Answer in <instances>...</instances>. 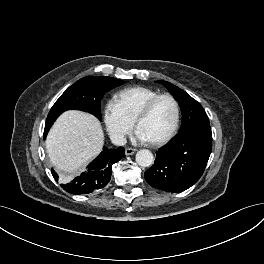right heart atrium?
I'll use <instances>...</instances> for the list:
<instances>
[{"mask_svg": "<svg viewBox=\"0 0 264 264\" xmlns=\"http://www.w3.org/2000/svg\"><path fill=\"white\" fill-rule=\"evenodd\" d=\"M105 128L116 144H122L132 130L134 122L124 115L115 102H107L103 108Z\"/></svg>", "mask_w": 264, "mask_h": 264, "instance_id": "1", "label": "right heart atrium"}]
</instances>
